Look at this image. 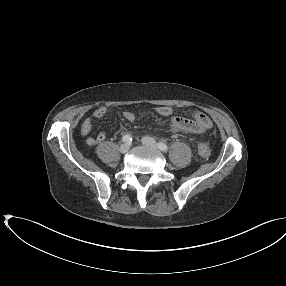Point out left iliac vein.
I'll use <instances>...</instances> for the list:
<instances>
[{
    "instance_id": "1",
    "label": "left iliac vein",
    "mask_w": 286,
    "mask_h": 286,
    "mask_svg": "<svg viewBox=\"0 0 286 286\" xmlns=\"http://www.w3.org/2000/svg\"><path fill=\"white\" fill-rule=\"evenodd\" d=\"M142 143L145 146L152 147V148H157V143H156V141L152 137H149V136L143 137L142 138Z\"/></svg>"
}]
</instances>
